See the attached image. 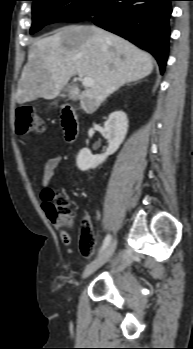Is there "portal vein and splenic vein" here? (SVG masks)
Here are the masks:
<instances>
[{"mask_svg":"<svg viewBox=\"0 0 193 349\" xmlns=\"http://www.w3.org/2000/svg\"><path fill=\"white\" fill-rule=\"evenodd\" d=\"M79 76L81 77V82H82L83 86L91 87V86L94 85V82H93V80L90 77H88V76H86L84 74H79Z\"/></svg>","mask_w":193,"mask_h":349,"instance_id":"portal-vein-and-splenic-vein-1","label":"portal vein and splenic vein"}]
</instances>
